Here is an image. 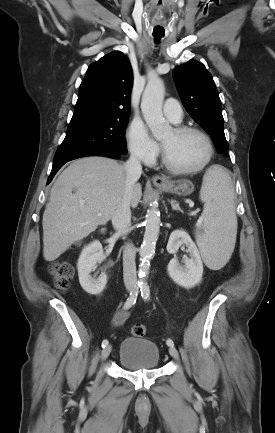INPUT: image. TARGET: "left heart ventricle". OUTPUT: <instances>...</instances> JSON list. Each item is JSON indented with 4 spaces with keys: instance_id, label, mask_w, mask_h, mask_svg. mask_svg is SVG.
Wrapping results in <instances>:
<instances>
[{
    "instance_id": "b2bd125f",
    "label": "left heart ventricle",
    "mask_w": 275,
    "mask_h": 433,
    "mask_svg": "<svg viewBox=\"0 0 275 433\" xmlns=\"http://www.w3.org/2000/svg\"><path fill=\"white\" fill-rule=\"evenodd\" d=\"M160 141L171 163L180 168H194L207 156V145L196 133L177 134L170 129Z\"/></svg>"
}]
</instances>
